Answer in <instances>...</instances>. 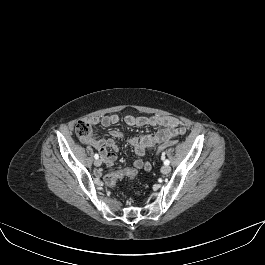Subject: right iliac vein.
I'll use <instances>...</instances> for the list:
<instances>
[{
    "instance_id": "right-iliac-vein-1",
    "label": "right iliac vein",
    "mask_w": 265,
    "mask_h": 265,
    "mask_svg": "<svg viewBox=\"0 0 265 265\" xmlns=\"http://www.w3.org/2000/svg\"><path fill=\"white\" fill-rule=\"evenodd\" d=\"M101 164H102V162H101L100 159H96V160L94 161V165L97 166V167H99Z\"/></svg>"
}]
</instances>
